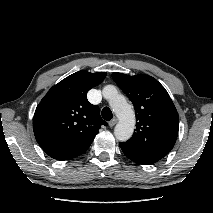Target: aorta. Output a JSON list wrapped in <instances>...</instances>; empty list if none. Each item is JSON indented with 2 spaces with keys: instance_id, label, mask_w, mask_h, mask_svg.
<instances>
[{
  "instance_id": "obj_1",
  "label": "aorta",
  "mask_w": 213,
  "mask_h": 213,
  "mask_svg": "<svg viewBox=\"0 0 213 213\" xmlns=\"http://www.w3.org/2000/svg\"><path fill=\"white\" fill-rule=\"evenodd\" d=\"M103 95L109 100V104L119 119L114 128V135L118 141H127L131 138L135 129V114L126 98L117 93L114 86L108 85L103 89Z\"/></svg>"
}]
</instances>
